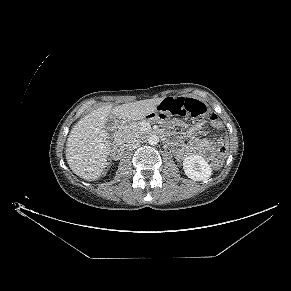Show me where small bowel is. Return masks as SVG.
Returning <instances> with one entry per match:
<instances>
[{
  "mask_svg": "<svg viewBox=\"0 0 291 291\" xmlns=\"http://www.w3.org/2000/svg\"><path fill=\"white\" fill-rule=\"evenodd\" d=\"M175 124L179 126H183V123H181L180 121H175ZM213 125L216 128L220 127V125L219 126L215 124ZM202 127H203V122L200 121L195 124V126L193 127V130L195 132H199L202 129ZM190 153L199 154L208 160H213L216 156V152L213 147V144L209 139H197L189 145H182L178 150V154L181 157Z\"/></svg>",
  "mask_w": 291,
  "mask_h": 291,
  "instance_id": "1",
  "label": "small bowel"
}]
</instances>
